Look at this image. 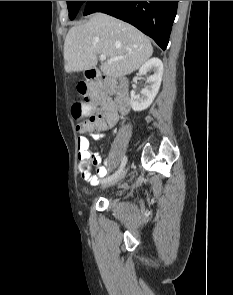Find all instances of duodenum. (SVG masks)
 <instances>
[{
	"instance_id": "410a0bca",
	"label": "duodenum",
	"mask_w": 233,
	"mask_h": 295,
	"mask_svg": "<svg viewBox=\"0 0 233 295\" xmlns=\"http://www.w3.org/2000/svg\"><path fill=\"white\" fill-rule=\"evenodd\" d=\"M89 80H95L98 77V73L95 69H90L87 73ZM117 108L121 113H126L130 108L129 97L126 92H120L116 99Z\"/></svg>"
}]
</instances>
